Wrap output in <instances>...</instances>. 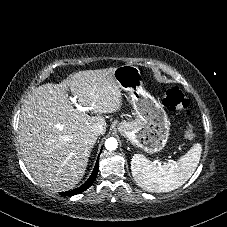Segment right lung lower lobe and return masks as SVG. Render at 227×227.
<instances>
[{"mask_svg":"<svg viewBox=\"0 0 227 227\" xmlns=\"http://www.w3.org/2000/svg\"><path fill=\"white\" fill-rule=\"evenodd\" d=\"M98 167H99V160H97L96 165H95V168H94V170H93L90 178L84 183V185H82L81 187H79L77 189H74V190H71V191H67V192H63V193H60V194L61 195L73 196V195H76V194H79V193L85 191L95 181V178H96L97 173H98Z\"/></svg>","mask_w":227,"mask_h":227,"instance_id":"obj_1","label":"right lung lower lobe"}]
</instances>
